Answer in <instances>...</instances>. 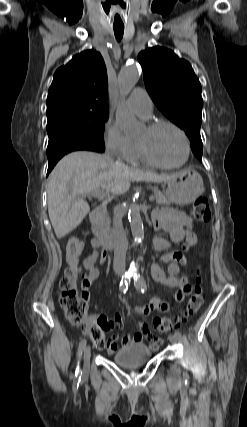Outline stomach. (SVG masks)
<instances>
[{
	"label": "stomach",
	"instance_id": "stomach-1",
	"mask_svg": "<svg viewBox=\"0 0 247 427\" xmlns=\"http://www.w3.org/2000/svg\"><path fill=\"white\" fill-rule=\"evenodd\" d=\"M204 191L201 175L192 169H185L169 180L166 196L177 205L192 204Z\"/></svg>",
	"mask_w": 247,
	"mask_h": 427
}]
</instances>
